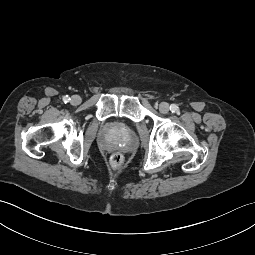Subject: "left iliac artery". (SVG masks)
Segmentation results:
<instances>
[{
    "label": "left iliac artery",
    "instance_id": "44dca946",
    "mask_svg": "<svg viewBox=\"0 0 255 255\" xmlns=\"http://www.w3.org/2000/svg\"><path fill=\"white\" fill-rule=\"evenodd\" d=\"M170 110L172 113H177L179 111V107L176 104H171Z\"/></svg>",
    "mask_w": 255,
    "mask_h": 255
}]
</instances>
